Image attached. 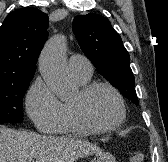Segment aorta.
Here are the masks:
<instances>
[{"label": "aorta", "instance_id": "obj_1", "mask_svg": "<svg viewBox=\"0 0 168 162\" xmlns=\"http://www.w3.org/2000/svg\"><path fill=\"white\" fill-rule=\"evenodd\" d=\"M66 41L55 36L44 46L39 59L40 73L61 100L75 96L76 87L65 63Z\"/></svg>", "mask_w": 168, "mask_h": 162}]
</instances>
